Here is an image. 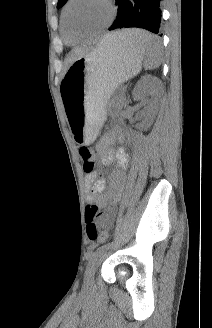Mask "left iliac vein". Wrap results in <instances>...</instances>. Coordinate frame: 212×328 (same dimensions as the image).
I'll use <instances>...</instances> for the list:
<instances>
[{
  "label": "left iliac vein",
  "instance_id": "obj_1",
  "mask_svg": "<svg viewBox=\"0 0 212 328\" xmlns=\"http://www.w3.org/2000/svg\"><path fill=\"white\" fill-rule=\"evenodd\" d=\"M95 270H96V267H95V263L90 267L87 275H86V283L87 284H90L92 281H93V278H94V274H95Z\"/></svg>",
  "mask_w": 212,
  "mask_h": 328
}]
</instances>
